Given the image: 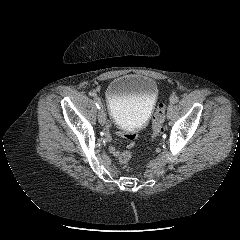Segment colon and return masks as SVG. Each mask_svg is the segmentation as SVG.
<instances>
[{"mask_svg": "<svg viewBox=\"0 0 240 240\" xmlns=\"http://www.w3.org/2000/svg\"><path fill=\"white\" fill-rule=\"evenodd\" d=\"M164 114H165V105L163 103H160L154 113L153 119H152V138L155 140L158 138L161 133L163 132V124H164ZM131 157V153L129 151H126L122 153L119 157V161L121 164H125L129 161Z\"/></svg>", "mask_w": 240, "mask_h": 240, "instance_id": "colon-1", "label": "colon"}]
</instances>
